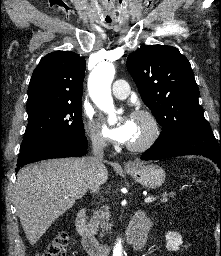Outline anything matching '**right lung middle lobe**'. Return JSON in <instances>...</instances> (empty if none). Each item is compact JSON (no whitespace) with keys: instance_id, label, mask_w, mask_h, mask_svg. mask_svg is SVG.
<instances>
[{"instance_id":"right-lung-middle-lobe-1","label":"right lung middle lobe","mask_w":221,"mask_h":256,"mask_svg":"<svg viewBox=\"0 0 221 256\" xmlns=\"http://www.w3.org/2000/svg\"><path fill=\"white\" fill-rule=\"evenodd\" d=\"M27 113L28 125L20 150L50 136L85 133L81 103L43 104L27 109Z\"/></svg>"}]
</instances>
